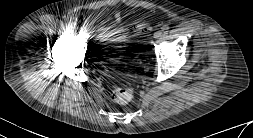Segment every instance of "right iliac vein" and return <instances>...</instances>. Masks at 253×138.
Listing matches in <instances>:
<instances>
[{"label":"right iliac vein","mask_w":253,"mask_h":138,"mask_svg":"<svg viewBox=\"0 0 253 138\" xmlns=\"http://www.w3.org/2000/svg\"><path fill=\"white\" fill-rule=\"evenodd\" d=\"M75 33H76L77 35H80V34L82 33V29H81L80 27H77V28L75 29Z\"/></svg>","instance_id":"right-iliac-vein-1"}]
</instances>
